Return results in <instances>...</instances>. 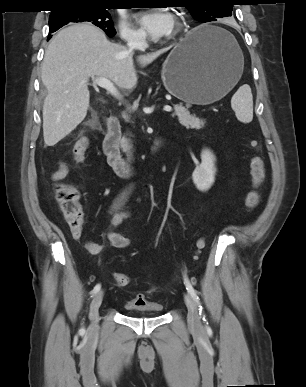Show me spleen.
Listing matches in <instances>:
<instances>
[{
  "instance_id": "3e777b00",
  "label": "spleen",
  "mask_w": 306,
  "mask_h": 387,
  "mask_svg": "<svg viewBox=\"0 0 306 387\" xmlns=\"http://www.w3.org/2000/svg\"><path fill=\"white\" fill-rule=\"evenodd\" d=\"M231 107L240 122L249 123L253 119V96L249 85H242L231 99Z\"/></svg>"
}]
</instances>
